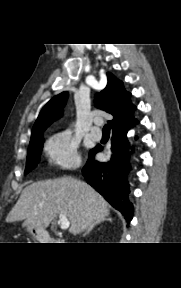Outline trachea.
<instances>
[{"mask_svg":"<svg viewBox=\"0 0 181 288\" xmlns=\"http://www.w3.org/2000/svg\"><path fill=\"white\" fill-rule=\"evenodd\" d=\"M103 132H110V125L109 124L104 125Z\"/></svg>","mask_w":181,"mask_h":288,"instance_id":"1","label":"trachea"}]
</instances>
